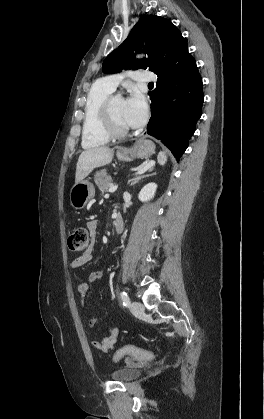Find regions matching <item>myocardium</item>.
<instances>
[{
	"label": "myocardium",
	"instance_id": "1",
	"mask_svg": "<svg viewBox=\"0 0 264 419\" xmlns=\"http://www.w3.org/2000/svg\"><path fill=\"white\" fill-rule=\"evenodd\" d=\"M121 97L119 93L110 94L102 105V119L106 132L111 138H122L129 134L128 127L120 126L113 115L112 106L116 98Z\"/></svg>",
	"mask_w": 264,
	"mask_h": 419
}]
</instances>
